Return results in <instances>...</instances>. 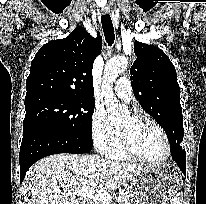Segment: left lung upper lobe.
Instances as JSON below:
<instances>
[{"mask_svg": "<svg viewBox=\"0 0 206 204\" xmlns=\"http://www.w3.org/2000/svg\"><path fill=\"white\" fill-rule=\"evenodd\" d=\"M131 85L136 99L165 130L170 145L180 147L184 128L180 87L174 65L158 47L135 41Z\"/></svg>", "mask_w": 206, "mask_h": 204, "instance_id": "left-lung-upper-lobe-1", "label": "left lung upper lobe"}]
</instances>
